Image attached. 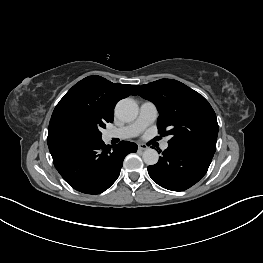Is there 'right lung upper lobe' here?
Listing matches in <instances>:
<instances>
[{"instance_id":"right-lung-upper-lobe-1","label":"right lung upper lobe","mask_w":263,"mask_h":263,"mask_svg":"<svg viewBox=\"0 0 263 263\" xmlns=\"http://www.w3.org/2000/svg\"><path fill=\"white\" fill-rule=\"evenodd\" d=\"M136 95L132 85L115 84L101 76H88L75 84L55 107L48 128L49 150L75 144L61 130L62 121L70 114L89 112L112 122L116 103Z\"/></svg>"}]
</instances>
